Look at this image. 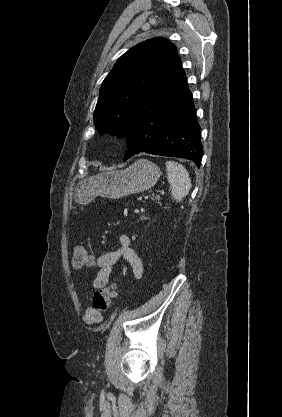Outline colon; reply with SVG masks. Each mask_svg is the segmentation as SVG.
Here are the masks:
<instances>
[{"label":"colon","instance_id":"obj_1","mask_svg":"<svg viewBox=\"0 0 282 417\" xmlns=\"http://www.w3.org/2000/svg\"><path fill=\"white\" fill-rule=\"evenodd\" d=\"M141 219L145 218V215L139 216ZM93 264V258L91 254L83 247L78 246L74 249L73 266L75 268H89ZM117 285L110 283L109 285L97 290L92 299V306L97 312H105L110 304L111 299L116 296Z\"/></svg>","mask_w":282,"mask_h":417}]
</instances>
